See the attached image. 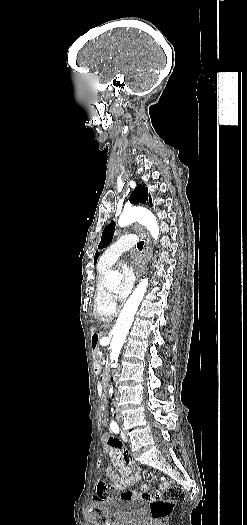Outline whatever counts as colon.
<instances>
[{
  "mask_svg": "<svg viewBox=\"0 0 247 525\" xmlns=\"http://www.w3.org/2000/svg\"><path fill=\"white\" fill-rule=\"evenodd\" d=\"M97 431H102V427L106 425L104 418H99L96 421ZM143 477L146 481L157 480L160 484V490L150 498V509L153 518H165L167 517L173 508L174 503L181 502L185 499V492L181 487L175 486L170 483L168 488L161 486V481L165 478H157L150 472H145Z\"/></svg>",
  "mask_w": 247,
  "mask_h": 525,
  "instance_id": "obj_1",
  "label": "colon"
}]
</instances>
